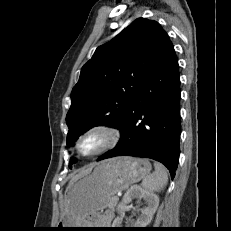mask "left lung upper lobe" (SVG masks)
<instances>
[{"label":"left lung upper lobe","mask_w":231,"mask_h":231,"mask_svg":"<svg viewBox=\"0 0 231 231\" xmlns=\"http://www.w3.org/2000/svg\"><path fill=\"white\" fill-rule=\"evenodd\" d=\"M167 36L156 21L138 18L96 49L71 92L67 145L91 127L119 126ZM73 163L75 158L70 159L69 166Z\"/></svg>","instance_id":"obj_1"}]
</instances>
